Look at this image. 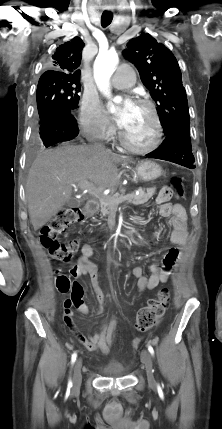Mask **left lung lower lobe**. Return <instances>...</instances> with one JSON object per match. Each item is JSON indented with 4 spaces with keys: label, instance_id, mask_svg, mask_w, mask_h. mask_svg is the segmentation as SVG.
I'll return each instance as SVG.
<instances>
[{
    "label": "left lung lower lobe",
    "instance_id": "0a47b994",
    "mask_svg": "<svg viewBox=\"0 0 222 429\" xmlns=\"http://www.w3.org/2000/svg\"><path fill=\"white\" fill-rule=\"evenodd\" d=\"M146 156L194 169L195 159L192 153L190 131L178 130L167 134L163 143Z\"/></svg>",
    "mask_w": 222,
    "mask_h": 429
}]
</instances>
